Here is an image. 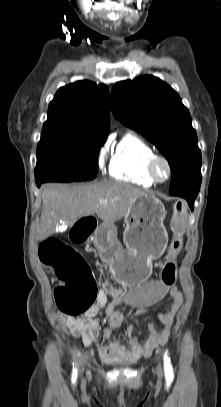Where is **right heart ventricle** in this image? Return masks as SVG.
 Wrapping results in <instances>:
<instances>
[{
    "label": "right heart ventricle",
    "instance_id": "obj_1",
    "mask_svg": "<svg viewBox=\"0 0 221 407\" xmlns=\"http://www.w3.org/2000/svg\"><path fill=\"white\" fill-rule=\"evenodd\" d=\"M154 155L148 143L134 134H126L111 157L109 173L116 180L150 187L155 182L147 173V164Z\"/></svg>",
    "mask_w": 221,
    "mask_h": 407
}]
</instances>
